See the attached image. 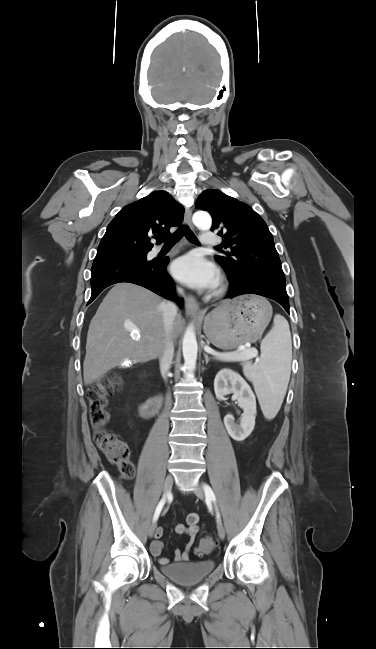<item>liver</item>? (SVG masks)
Here are the masks:
<instances>
[{
  "instance_id": "6515ba94",
  "label": "liver",
  "mask_w": 376,
  "mask_h": 649,
  "mask_svg": "<svg viewBox=\"0 0 376 649\" xmlns=\"http://www.w3.org/2000/svg\"><path fill=\"white\" fill-rule=\"evenodd\" d=\"M163 303L160 297L141 286L114 285L89 325L83 363L85 385L123 361L146 362L161 355L165 341ZM182 324V316L177 314L171 330L172 340L178 338ZM128 325H134L139 334H131Z\"/></svg>"
}]
</instances>
